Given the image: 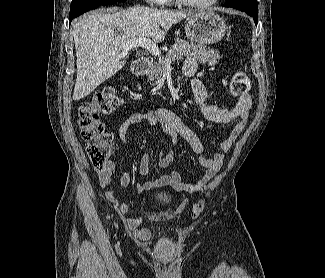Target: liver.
I'll return each mask as SVG.
<instances>
[{"label":"liver","mask_w":325,"mask_h":278,"mask_svg":"<svg viewBox=\"0 0 325 278\" xmlns=\"http://www.w3.org/2000/svg\"><path fill=\"white\" fill-rule=\"evenodd\" d=\"M192 14L136 6L100 9L84 15L73 29L77 65L73 100L88 96L124 67L127 51L123 45L128 41L145 37L161 42L172 25Z\"/></svg>","instance_id":"6515ba94"}]
</instances>
